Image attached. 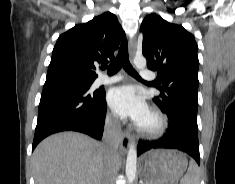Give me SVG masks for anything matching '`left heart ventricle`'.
Segmentation results:
<instances>
[{"mask_svg": "<svg viewBox=\"0 0 235 184\" xmlns=\"http://www.w3.org/2000/svg\"><path fill=\"white\" fill-rule=\"evenodd\" d=\"M155 124V118L154 116L149 112L144 119L142 120L140 127L144 129H150Z\"/></svg>", "mask_w": 235, "mask_h": 184, "instance_id": "1", "label": "left heart ventricle"}]
</instances>
